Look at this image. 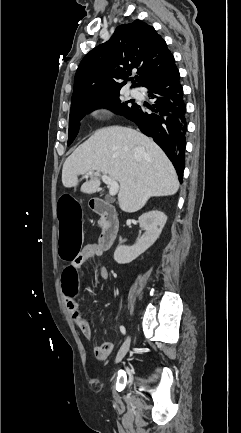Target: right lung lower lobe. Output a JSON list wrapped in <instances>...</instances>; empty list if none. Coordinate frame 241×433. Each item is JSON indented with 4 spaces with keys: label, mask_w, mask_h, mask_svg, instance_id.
I'll return each instance as SVG.
<instances>
[{
    "label": "right lung lower lobe",
    "mask_w": 241,
    "mask_h": 433,
    "mask_svg": "<svg viewBox=\"0 0 241 433\" xmlns=\"http://www.w3.org/2000/svg\"><path fill=\"white\" fill-rule=\"evenodd\" d=\"M179 78V71L173 62L163 73L143 86L149 90L148 97L155 100L152 107L147 106L151 112L136 104L125 117L163 149L182 181L187 122L186 104Z\"/></svg>",
    "instance_id": "right-lung-lower-lobe-1"
}]
</instances>
